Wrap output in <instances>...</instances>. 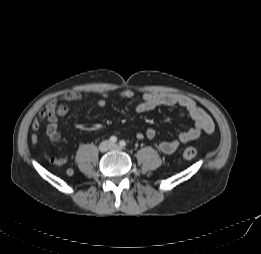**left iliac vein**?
I'll list each match as a JSON object with an SVG mask.
<instances>
[{
	"label": "left iliac vein",
	"instance_id": "4c4485c4",
	"mask_svg": "<svg viewBox=\"0 0 261 254\" xmlns=\"http://www.w3.org/2000/svg\"><path fill=\"white\" fill-rule=\"evenodd\" d=\"M120 147L117 144H112L111 149H119Z\"/></svg>",
	"mask_w": 261,
	"mask_h": 254
}]
</instances>
